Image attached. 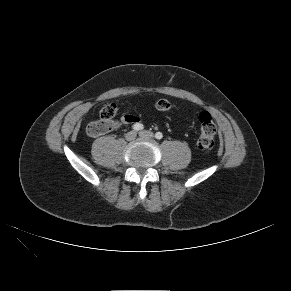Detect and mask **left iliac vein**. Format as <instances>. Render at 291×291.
<instances>
[{
	"mask_svg": "<svg viewBox=\"0 0 291 291\" xmlns=\"http://www.w3.org/2000/svg\"><path fill=\"white\" fill-rule=\"evenodd\" d=\"M139 135L143 138H153L154 137V134L150 131H147V130L139 132Z\"/></svg>",
	"mask_w": 291,
	"mask_h": 291,
	"instance_id": "obj_1",
	"label": "left iliac vein"
}]
</instances>
